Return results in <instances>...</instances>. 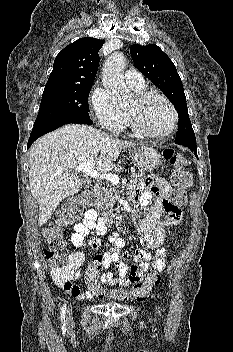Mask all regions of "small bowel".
<instances>
[{
    "instance_id": "c3829d8e",
    "label": "small bowel",
    "mask_w": 233,
    "mask_h": 352,
    "mask_svg": "<svg viewBox=\"0 0 233 352\" xmlns=\"http://www.w3.org/2000/svg\"><path fill=\"white\" fill-rule=\"evenodd\" d=\"M170 193L169 185L162 179L150 176L142 185L130 191V196L137 200L142 207H147L153 198L155 201L147 217L140 221V228L149 251L133 248L130 253L122 251L125 240L117 232H113L106 243L107 250L103 253V268L115 265L118 276L108 271L101 275L103 284L127 287L141 281L143 274L149 268V262L153 260L154 267L162 270L165 267L168 250L162 246L165 239V230L170 226L178 224L182 218L180 207H173L168 203L167 197ZM164 214V215H163ZM106 232V224L101 221L98 214L90 209L81 222L74 225L71 234V243L78 249L95 250L100 245V240L91 235H103ZM155 253L156 257L153 258ZM132 257L138 264L128 266L122 258ZM69 264L73 268L72 276L65 281L56 280V283L65 291L78 300H90L93 295L90 291L82 292L73 282L81 276L80 268L85 261V255L81 251H75L68 257Z\"/></svg>"
}]
</instances>
